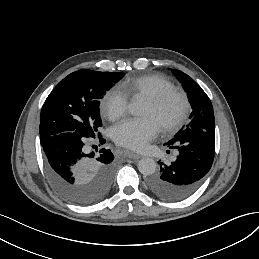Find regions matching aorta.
Listing matches in <instances>:
<instances>
[{"label":"aorta","instance_id":"aorta-1","mask_svg":"<svg viewBox=\"0 0 259 259\" xmlns=\"http://www.w3.org/2000/svg\"><path fill=\"white\" fill-rule=\"evenodd\" d=\"M128 111L132 115H140L142 112V106L137 100H133L128 105ZM157 164L154 159L145 157L140 159L138 162V170L141 174L145 176L152 175L156 172Z\"/></svg>","mask_w":259,"mask_h":259}]
</instances>
